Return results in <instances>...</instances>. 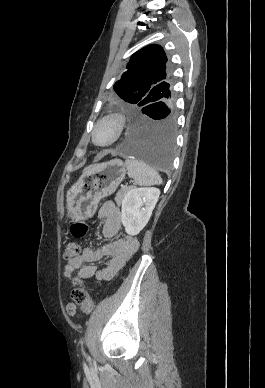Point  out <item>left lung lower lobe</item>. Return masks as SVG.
Wrapping results in <instances>:
<instances>
[{
    "label": "left lung lower lobe",
    "instance_id": "left-lung-lower-lobe-1",
    "mask_svg": "<svg viewBox=\"0 0 265 388\" xmlns=\"http://www.w3.org/2000/svg\"><path fill=\"white\" fill-rule=\"evenodd\" d=\"M122 154L158 169L171 167L175 140L174 102H157L126 113Z\"/></svg>",
    "mask_w": 265,
    "mask_h": 388
}]
</instances>
